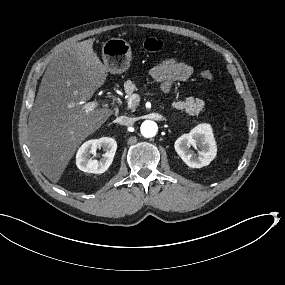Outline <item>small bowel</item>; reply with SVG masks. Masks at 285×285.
I'll return each instance as SVG.
<instances>
[{
    "label": "small bowel",
    "mask_w": 285,
    "mask_h": 285,
    "mask_svg": "<svg viewBox=\"0 0 285 285\" xmlns=\"http://www.w3.org/2000/svg\"><path fill=\"white\" fill-rule=\"evenodd\" d=\"M193 69L188 64L175 57L162 59L150 72L151 77L162 83L164 90L168 91L174 83L185 82L192 76Z\"/></svg>",
    "instance_id": "c3829d8e"
}]
</instances>
